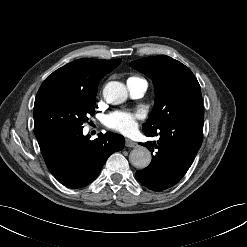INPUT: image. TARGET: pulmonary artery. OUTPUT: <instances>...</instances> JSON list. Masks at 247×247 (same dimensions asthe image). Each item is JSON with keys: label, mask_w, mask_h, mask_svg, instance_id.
I'll list each match as a JSON object with an SVG mask.
<instances>
[{"label": "pulmonary artery", "mask_w": 247, "mask_h": 247, "mask_svg": "<svg viewBox=\"0 0 247 247\" xmlns=\"http://www.w3.org/2000/svg\"><path fill=\"white\" fill-rule=\"evenodd\" d=\"M127 89L132 98H140L147 90V82L141 78H130L127 80Z\"/></svg>", "instance_id": "1"}]
</instances>
